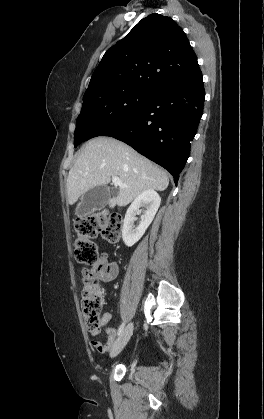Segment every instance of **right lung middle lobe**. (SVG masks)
<instances>
[{
	"mask_svg": "<svg viewBox=\"0 0 264 419\" xmlns=\"http://www.w3.org/2000/svg\"><path fill=\"white\" fill-rule=\"evenodd\" d=\"M141 88L100 91L84 96L74 134L75 147L124 121L151 96Z\"/></svg>",
	"mask_w": 264,
	"mask_h": 419,
	"instance_id": "right-lung-middle-lobe-1",
	"label": "right lung middle lobe"
}]
</instances>
